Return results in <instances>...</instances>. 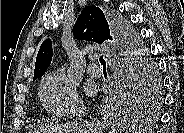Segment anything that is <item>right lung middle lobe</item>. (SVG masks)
Instances as JSON below:
<instances>
[{
    "mask_svg": "<svg viewBox=\"0 0 184 133\" xmlns=\"http://www.w3.org/2000/svg\"><path fill=\"white\" fill-rule=\"evenodd\" d=\"M121 20L135 46L129 56L130 71L125 83L123 102L127 108L136 110L148 105L154 89H157L159 84L157 68L140 45L137 33L126 20Z\"/></svg>",
    "mask_w": 184,
    "mask_h": 133,
    "instance_id": "obj_1",
    "label": "right lung middle lobe"
}]
</instances>
